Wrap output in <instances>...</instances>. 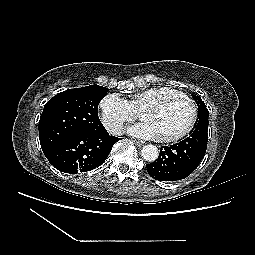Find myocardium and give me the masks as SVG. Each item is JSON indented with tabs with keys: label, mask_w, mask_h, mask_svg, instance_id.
<instances>
[{
	"label": "myocardium",
	"mask_w": 255,
	"mask_h": 255,
	"mask_svg": "<svg viewBox=\"0 0 255 255\" xmlns=\"http://www.w3.org/2000/svg\"><path fill=\"white\" fill-rule=\"evenodd\" d=\"M174 98H179L183 101H185L187 104H189V106L191 107V119L188 123V125L182 129L181 131L174 133L172 135H168V136H161V137H157V141L159 142H164V143H168V142H173V141H177L183 137H185L186 135H188L194 128L197 119H198V106L196 104V102L187 94L181 92V91H177L174 90L170 93L164 94L160 97H158L156 100H154L153 102L145 105L141 110H146V109H150V108H156L159 107L160 105H162L164 102L169 101L171 99ZM140 112H139V116H140ZM141 118V116H140Z\"/></svg>",
	"instance_id": "f54148a6"
}]
</instances>
